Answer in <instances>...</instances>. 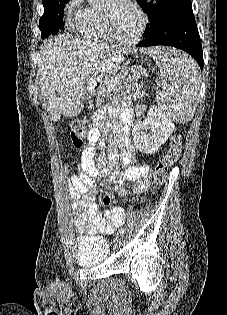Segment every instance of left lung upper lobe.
Returning a JSON list of instances; mask_svg holds the SVG:
<instances>
[{"mask_svg": "<svg viewBox=\"0 0 227 315\" xmlns=\"http://www.w3.org/2000/svg\"><path fill=\"white\" fill-rule=\"evenodd\" d=\"M137 2L150 20L145 31L174 13L192 9L191 0H137Z\"/></svg>", "mask_w": 227, "mask_h": 315, "instance_id": "1", "label": "left lung upper lobe"}]
</instances>
